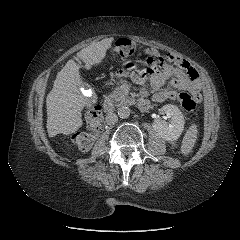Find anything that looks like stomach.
Masks as SVG:
<instances>
[{"mask_svg":"<svg viewBox=\"0 0 240 240\" xmlns=\"http://www.w3.org/2000/svg\"><path fill=\"white\" fill-rule=\"evenodd\" d=\"M123 67L131 70V69H136L137 68V63L135 61H126L123 63Z\"/></svg>","mask_w":240,"mask_h":240,"instance_id":"0dacf381","label":"stomach"}]
</instances>
